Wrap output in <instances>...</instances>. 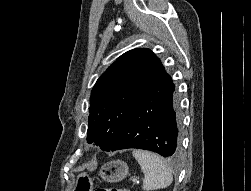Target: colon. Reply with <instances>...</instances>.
<instances>
[{"instance_id": "1", "label": "colon", "mask_w": 251, "mask_h": 191, "mask_svg": "<svg viewBox=\"0 0 251 191\" xmlns=\"http://www.w3.org/2000/svg\"><path fill=\"white\" fill-rule=\"evenodd\" d=\"M98 191H125V189H119L114 187H101Z\"/></svg>"}]
</instances>
